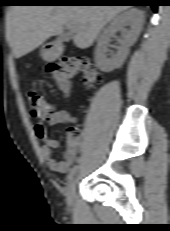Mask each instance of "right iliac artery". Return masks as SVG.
<instances>
[{
	"mask_svg": "<svg viewBox=\"0 0 170 231\" xmlns=\"http://www.w3.org/2000/svg\"><path fill=\"white\" fill-rule=\"evenodd\" d=\"M77 169H78V166H74V167L70 170V172H69V174H68V180H69V181H71V180L73 179L74 175H75L76 172H77Z\"/></svg>",
	"mask_w": 170,
	"mask_h": 231,
	"instance_id": "obj_1",
	"label": "right iliac artery"
}]
</instances>
